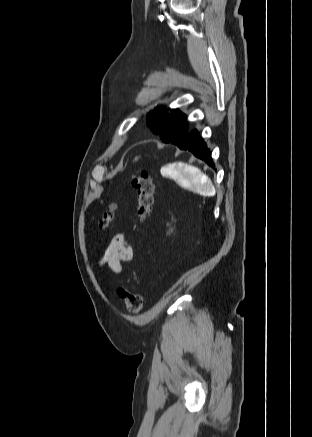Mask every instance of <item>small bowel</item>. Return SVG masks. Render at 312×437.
Segmentation results:
<instances>
[{
    "label": "small bowel",
    "mask_w": 312,
    "mask_h": 437,
    "mask_svg": "<svg viewBox=\"0 0 312 437\" xmlns=\"http://www.w3.org/2000/svg\"><path fill=\"white\" fill-rule=\"evenodd\" d=\"M133 257V250L122 233L116 234L100 260L101 266H107L111 271L120 273L124 265H128Z\"/></svg>",
    "instance_id": "obj_1"
}]
</instances>
